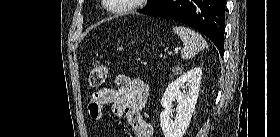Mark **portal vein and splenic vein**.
<instances>
[{
	"instance_id": "1",
	"label": "portal vein and splenic vein",
	"mask_w": 280,
	"mask_h": 137,
	"mask_svg": "<svg viewBox=\"0 0 280 137\" xmlns=\"http://www.w3.org/2000/svg\"><path fill=\"white\" fill-rule=\"evenodd\" d=\"M174 51H175V52L178 51V48H176ZM172 53H173L172 51H169V52H168L169 55H172Z\"/></svg>"
}]
</instances>
